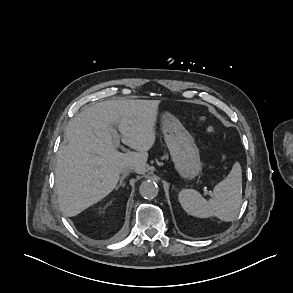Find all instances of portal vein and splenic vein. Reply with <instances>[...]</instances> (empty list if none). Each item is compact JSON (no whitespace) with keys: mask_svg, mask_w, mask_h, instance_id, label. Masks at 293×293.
<instances>
[{"mask_svg":"<svg viewBox=\"0 0 293 293\" xmlns=\"http://www.w3.org/2000/svg\"><path fill=\"white\" fill-rule=\"evenodd\" d=\"M112 135H113V138H114V146L115 148H119L120 147V138H121V135L118 134V132L116 130H112Z\"/></svg>","mask_w":293,"mask_h":293,"instance_id":"portal-vein-and-splenic-vein-1","label":"portal vein and splenic vein"}]
</instances>
